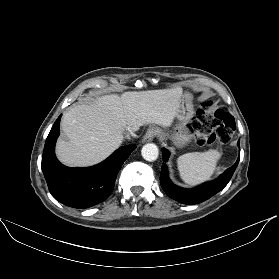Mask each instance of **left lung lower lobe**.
<instances>
[{"instance_id":"obj_1","label":"left lung lower lobe","mask_w":279,"mask_h":279,"mask_svg":"<svg viewBox=\"0 0 279 279\" xmlns=\"http://www.w3.org/2000/svg\"><path fill=\"white\" fill-rule=\"evenodd\" d=\"M238 147L240 148L239 141H238ZM162 151H163L162 155H163L164 163L162 164L161 167V175H160L161 186L170 198L182 204H198L209 199L210 197H212L213 195L221 191L230 181L239 163V158H238L235 164L230 168H228L225 172H223V174L220 175L217 179L205 183L203 185H200L196 188L186 189V188L176 186L171 182L168 176V168L165 163L169 157V151L165 148H163Z\"/></svg>"}]
</instances>
